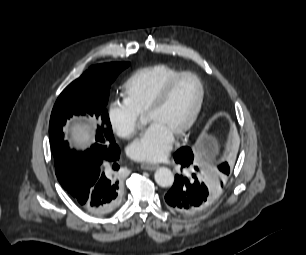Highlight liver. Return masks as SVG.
Returning <instances> with one entry per match:
<instances>
[{"label": "liver", "mask_w": 306, "mask_h": 255, "mask_svg": "<svg viewBox=\"0 0 306 255\" xmlns=\"http://www.w3.org/2000/svg\"><path fill=\"white\" fill-rule=\"evenodd\" d=\"M93 124L83 121H77L73 124L70 135L77 146H86L91 143L93 138Z\"/></svg>", "instance_id": "obj_1"}]
</instances>
